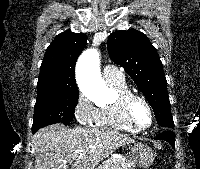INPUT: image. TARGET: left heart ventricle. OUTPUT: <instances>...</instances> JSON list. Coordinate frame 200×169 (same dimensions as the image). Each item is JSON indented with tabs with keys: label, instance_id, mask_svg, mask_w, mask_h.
<instances>
[{
	"label": "left heart ventricle",
	"instance_id": "1",
	"mask_svg": "<svg viewBox=\"0 0 200 169\" xmlns=\"http://www.w3.org/2000/svg\"><path fill=\"white\" fill-rule=\"evenodd\" d=\"M132 118L139 127H145L150 121V114L144 103L136 101L132 106Z\"/></svg>",
	"mask_w": 200,
	"mask_h": 169
}]
</instances>
